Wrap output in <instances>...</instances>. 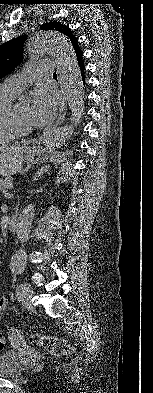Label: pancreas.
I'll return each instance as SVG.
<instances>
[{"label": "pancreas", "instance_id": "pancreas-1", "mask_svg": "<svg viewBox=\"0 0 153 393\" xmlns=\"http://www.w3.org/2000/svg\"><path fill=\"white\" fill-rule=\"evenodd\" d=\"M13 179L11 177L0 178V191L4 193L11 188Z\"/></svg>", "mask_w": 153, "mask_h": 393}]
</instances>
